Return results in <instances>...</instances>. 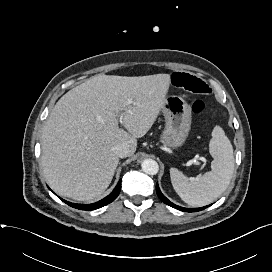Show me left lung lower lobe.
Instances as JSON below:
<instances>
[{
	"instance_id": "obj_1",
	"label": "left lung lower lobe",
	"mask_w": 272,
	"mask_h": 272,
	"mask_svg": "<svg viewBox=\"0 0 272 272\" xmlns=\"http://www.w3.org/2000/svg\"><path fill=\"white\" fill-rule=\"evenodd\" d=\"M156 192H157V195L158 197L167 205L173 207V208H176L178 210H181V211H186V212H197V211H200V210H203L205 209L206 207L208 206H205V207H202V208H183V207H180V206H177L175 204H173L172 202H170L160 191L159 189V186H158V183L156 184Z\"/></svg>"
}]
</instances>
